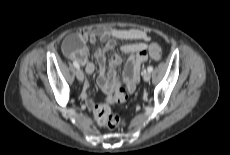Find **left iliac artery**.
<instances>
[{
  "instance_id": "44dca946",
  "label": "left iliac artery",
  "mask_w": 230,
  "mask_h": 155,
  "mask_svg": "<svg viewBox=\"0 0 230 155\" xmlns=\"http://www.w3.org/2000/svg\"><path fill=\"white\" fill-rule=\"evenodd\" d=\"M147 70H148V72H152V71H153V67H152V66H149V67L147 68Z\"/></svg>"
}]
</instances>
